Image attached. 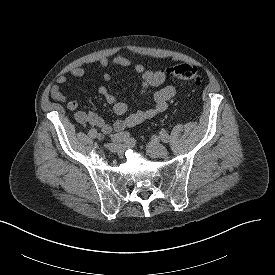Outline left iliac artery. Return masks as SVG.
Segmentation results:
<instances>
[{"mask_svg": "<svg viewBox=\"0 0 275 275\" xmlns=\"http://www.w3.org/2000/svg\"><path fill=\"white\" fill-rule=\"evenodd\" d=\"M160 138L164 143H167L169 140V136H168L167 132L163 129L160 131Z\"/></svg>", "mask_w": 275, "mask_h": 275, "instance_id": "44dca946", "label": "left iliac artery"}]
</instances>
